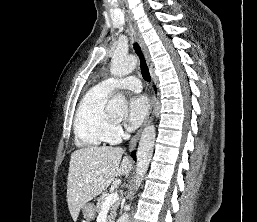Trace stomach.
<instances>
[{"instance_id":"1","label":"stomach","mask_w":257,"mask_h":222,"mask_svg":"<svg viewBox=\"0 0 257 222\" xmlns=\"http://www.w3.org/2000/svg\"><path fill=\"white\" fill-rule=\"evenodd\" d=\"M83 217L87 220H93L96 216V209L92 203H86L81 208Z\"/></svg>"}]
</instances>
